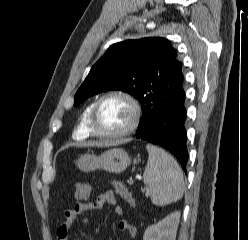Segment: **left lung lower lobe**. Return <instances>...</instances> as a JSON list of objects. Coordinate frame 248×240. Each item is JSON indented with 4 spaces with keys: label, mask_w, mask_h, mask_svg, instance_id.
I'll return each instance as SVG.
<instances>
[{
    "label": "left lung lower lobe",
    "mask_w": 248,
    "mask_h": 240,
    "mask_svg": "<svg viewBox=\"0 0 248 240\" xmlns=\"http://www.w3.org/2000/svg\"><path fill=\"white\" fill-rule=\"evenodd\" d=\"M185 93L164 105L136 138L171 152L184 171L188 162Z\"/></svg>",
    "instance_id": "left-lung-lower-lobe-1"
}]
</instances>
